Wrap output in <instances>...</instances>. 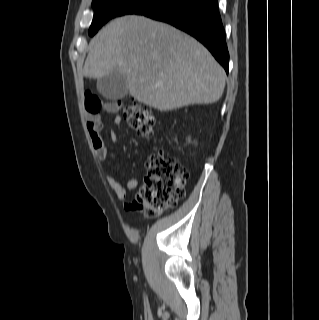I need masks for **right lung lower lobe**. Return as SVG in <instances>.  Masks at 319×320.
Here are the masks:
<instances>
[{
  "instance_id": "obj_1",
  "label": "right lung lower lobe",
  "mask_w": 319,
  "mask_h": 320,
  "mask_svg": "<svg viewBox=\"0 0 319 320\" xmlns=\"http://www.w3.org/2000/svg\"><path fill=\"white\" fill-rule=\"evenodd\" d=\"M169 23L204 44L228 73L229 53L218 0H167L137 13Z\"/></svg>"
}]
</instances>
